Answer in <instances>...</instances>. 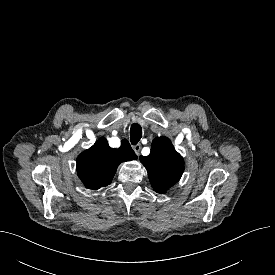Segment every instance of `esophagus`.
I'll list each match as a JSON object with an SVG mask.
<instances>
[{
  "mask_svg": "<svg viewBox=\"0 0 275 275\" xmlns=\"http://www.w3.org/2000/svg\"><path fill=\"white\" fill-rule=\"evenodd\" d=\"M133 150L135 151V153H136L137 155H139V152H140V150H141V145H140V144H137V145L133 146Z\"/></svg>",
  "mask_w": 275,
  "mask_h": 275,
  "instance_id": "esophagus-1",
  "label": "esophagus"
}]
</instances>
